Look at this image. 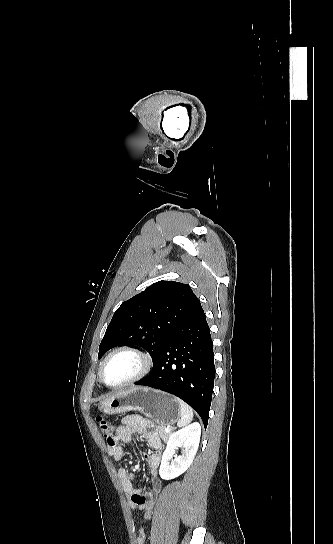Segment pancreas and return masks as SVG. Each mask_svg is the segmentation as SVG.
Returning <instances> with one entry per match:
<instances>
[{
    "label": "pancreas",
    "mask_w": 333,
    "mask_h": 544,
    "mask_svg": "<svg viewBox=\"0 0 333 544\" xmlns=\"http://www.w3.org/2000/svg\"><path fill=\"white\" fill-rule=\"evenodd\" d=\"M156 432L159 433L160 437L162 438V440L164 442H166L168 440V438L170 437V434H171V432H169V433L165 432V426H163V425H159L157 427V429H156Z\"/></svg>",
    "instance_id": "cf45deb5"
}]
</instances>
